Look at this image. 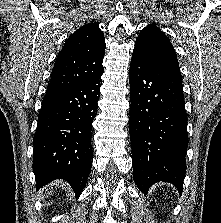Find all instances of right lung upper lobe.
Listing matches in <instances>:
<instances>
[{
    "label": "right lung upper lobe",
    "mask_w": 221,
    "mask_h": 223,
    "mask_svg": "<svg viewBox=\"0 0 221 223\" xmlns=\"http://www.w3.org/2000/svg\"><path fill=\"white\" fill-rule=\"evenodd\" d=\"M105 48L98 24L88 23L77 29L57 56L46 95L71 88L101 73Z\"/></svg>",
    "instance_id": "right-lung-upper-lobe-1"
}]
</instances>
